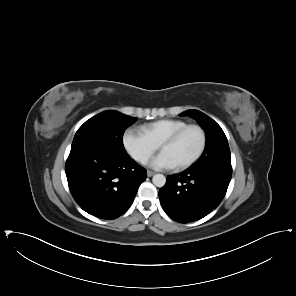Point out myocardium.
I'll list each match as a JSON object with an SVG mask.
<instances>
[{"label": "myocardium", "instance_id": "f54148a6", "mask_svg": "<svg viewBox=\"0 0 296 296\" xmlns=\"http://www.w3.org/2000/svg\"><path fill=\"white\" fill-rule=\"evenodd\" d=\"M191 129H196L200 132L201 135V143L200 146L198 148V150L196 151V153L189 159L177 163L175 164L176 167L178 168H184L187 166H190L191 164H193L194 162H196L201 155L203 154L205 147H206V134L205 131L198 125H187L186 127H184L183 129H181L180 131H178L177 133H175L174 135H172L161 147V150L164 152L168 147H170L171 145L175 144L187 131L191 130Z\"/></svg>", "mask_w": 296, "mask_h": 296}]
</instances>
